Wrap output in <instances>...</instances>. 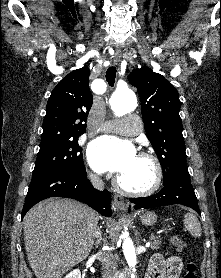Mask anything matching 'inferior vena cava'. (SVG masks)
Here are the masks:
<instances>
[{
	"instance_id": "1",
	"label": "inferior vena cava",
	"mask_w": 221,
	"mask_h": 278,
	"mask_svg": "<svg viewBox=\"0 0 221 278\" xmlns=\"http://www.w3.org/2000/svg\"><path fill=\"white\" fill-rule=\"evenodd\" d=\"M89 178L96 188H103V182L99 176L90 174ZM100 261L102 263V278H114L118 267L117 258L110 253H103L100 256Z\"/></svg>"
}]
</instances>
